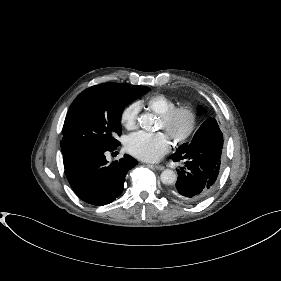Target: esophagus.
<instances>
[{
	"mask_svg": "<svg viewBox=\"0 0 281 281\" xmlns=\"http://www.w3.org/2000/svg\"><path fill=\"white\" fill-rule=\"evenodd\" d=\"M155 169H157V170H164V166H162V165H154L153 166Z\"/></svg>",
	"mask_w": 281,
	"mask_h": 281,
	"instance_id": "obj_1",
	"label": "esophagus"
}]
</instances>
